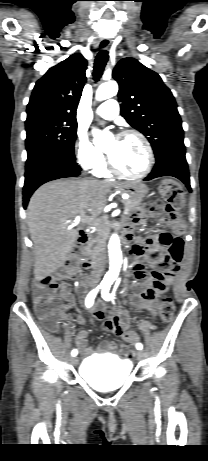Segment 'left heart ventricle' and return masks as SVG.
<instances>
[{
    "mask_svg": "<svg viewBox=\"0 0 208 461\" xmlns=\"http://www.w3.org/2000/svg\"><path fill=\"white\" fill-rule=\"evenodd\" d=\"M104 151L116 167L127 174H139L147 164V153L142 142L135 136L112 138Z\"/></svg>",
    "mask_w": 208,
    "mask_h": 461,
    "instance_id": "1",
    "label": "left heart ventricle"
}]
</instances>
